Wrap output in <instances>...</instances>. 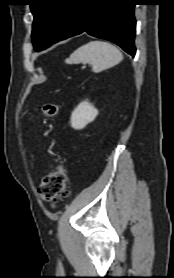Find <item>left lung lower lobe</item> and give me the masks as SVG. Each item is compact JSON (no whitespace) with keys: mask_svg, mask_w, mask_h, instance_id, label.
I'll use <instances>...</instances> for the list:
<instances>
[{"mask_svg":"<svg viewBox=\"0 0 174 278\" xmlns=\"http://www.w3.org/2000/svg\"><path fill=\"white\" fill-rule=\"evenodd\" d=\"M76 3L55 43L87 32L119 45L131 56L135 55L136 0H77Z\"/></svg>","mask_w":174,"mask_h":278,"instance_id":"obj_1","label":"left lung lower lobe"}]
</instances>
